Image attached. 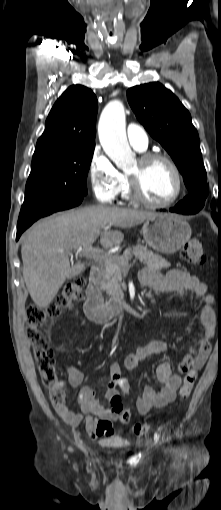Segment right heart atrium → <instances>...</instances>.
Instances as JSON below:
<instances>
[{
    "instance_id": "right-heart-atrium-1",
    "label": "right heart atrium",
    "mask_w": 221,
    "mask_h": 510,
    "mask_svg": "<svg viewBox=\"0 0 221 510\" xmlns=\"http://www.w3.org/2000/svg\"><path fill=\"white\" fill-rule=\"evenodd\" d=\"M89 179L92 191L101 203H112L123 186L122 173L100 148H95L92 153L89 164Z\"/></svg>"
}]
</instances>
